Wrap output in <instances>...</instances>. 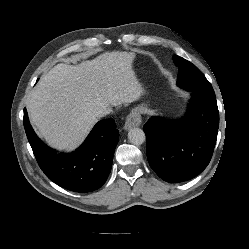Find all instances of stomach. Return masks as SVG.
<instances>
[{
  "label": "stomach",
  "mask_w": 249,
  "mask_h": 249,
  "mask_svg": "<svg viewBox=\"0 0 249 249\" xmlns=\"http://www.w3.org/2000/svg\"><path fill=\"white\" fill-rule=\"evenodd\" d=\"M138 111H139V112H145V111H146V108H145L144 106H140V107L138 108Z\"/></svg>",
  "instance_id": "0dacf381"
}]
</instances>
